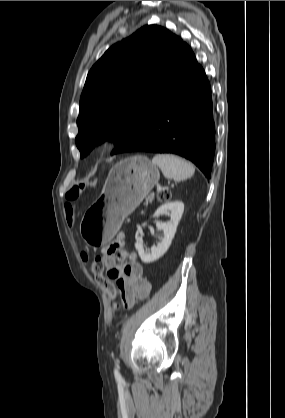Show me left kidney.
Here are the masks:
<instances>
[{"label": "left kidney", "instance_id": "5707ae66", "mask_svg": "<svg viewBox=\"0 0 285 418\" xmlns=\"http://www.w3.org/2000/svg\"><path fill=\"white\" fill-rule=\"evenodd\" d=\"M183 211L184 204L181 201L167 202L155 211L153 217H158L168 212L170 214V221L166 223L156 222L157 228L163 231L164 237L157 246L151 247L150 251L145 250L141 242L137 241L135 243V248L144 263L154 262L166 253L174 238Z\"/></svg>", "mask_w": 285, "mask_h": 418}]
</instances>
